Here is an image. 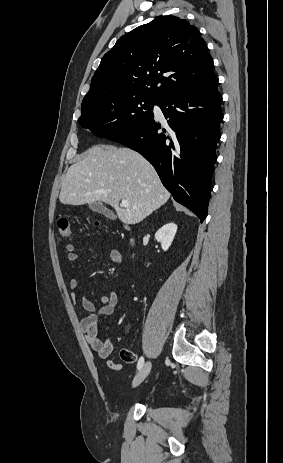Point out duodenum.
I'll return each instance as SVG.
<instances>
[{"label": "duodenum", "instance_id": "obj_1", "mask_svg": "<svg viewBox=\"0 0 283 463\" xmlns=\"http://www.w3.org/2000/svg\"><path fill=\"white\" fill-rule=\"evenodd\" d=\"M125 229L131 231V227L129 225H125Z\"/></svg>", "mask_w": 283, "mask_h": 463}]
</instances>
